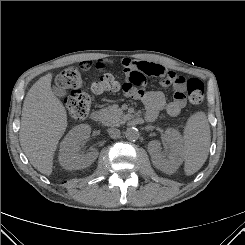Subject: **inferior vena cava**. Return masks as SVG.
<instances>
[{"label": "inferior vena cava", "instance_id": "1", "mask_svg": "<svg viewBox=\"0 0 245 245\" xmlns=\"http://www.w3.org/2000/svg\"><path fill=\"white\" fill-rule=\"evenodd\" d=\"M108 134L110 135L111 138H119L120 137V130L117 128H109L108 130Z\"/></svg>", "mask_w": 245, "mask_h": 245}]
</instances>
